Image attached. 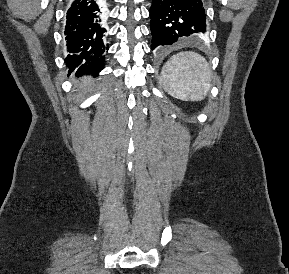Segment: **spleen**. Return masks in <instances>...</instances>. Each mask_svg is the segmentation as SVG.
Segmentation results:
<instances>
[{"instance_id": "obj_1", "label": "spleen", "mask_w": 289, "mask_h": 274, "mask_svg": "<svg viewBox=\"0 0 289 274\" xmlns=\"http://www.w3.org/2000/svg\"><path fill=\"white\" fill-rule=\"evenodd\" d=\"M210 82L211 69L206 59L191 51L173 55L161 71L164 89L184 101L204 99L210 90Z\"/></svg>"}]
</instances>
